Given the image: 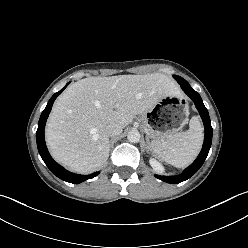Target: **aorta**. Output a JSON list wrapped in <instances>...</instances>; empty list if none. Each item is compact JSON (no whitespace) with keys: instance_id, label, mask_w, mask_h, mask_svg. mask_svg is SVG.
<instances>
[{"instance_id":"aorta-1","label":"aorta","mask_w":248,"mask_h":248,"mask_svg":"<svg viewBox=\"0 0 248 248\" xmlns=\"http://www.w3.org/2000/svg\"><path fill=\"white\" fill-rule=\"evenodd\" d=\"M140 137H141L140 133L138 131H136V130L130 131L128 133V135H127V139L131 143H137V142H139L140 141Z\"/></svg>"}]
</instances>
